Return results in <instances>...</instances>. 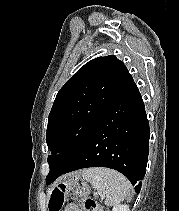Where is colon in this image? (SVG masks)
<instances>
[{
	"mask_svg": "<svg viewBox=\"0 0 179 211\" xmlns=\"http://www.w3.org/2000/svg\"><path fill=\"white\" fill-rule=\"evenodd\" d=\"M71 187L79 194L83 193L86 189L85 184L79 179H75L72 182ZM68 191L69 187L65 185L54 190L50 200V211H59L61 209ZM80 207L82 211H103L91 198H82L80 201Z\"/></svg>",
	"mask_w": 179,
	"mask_h": 211,
	"instance_id": "colon-1",
	"label": "colon"
}]
</instances>
